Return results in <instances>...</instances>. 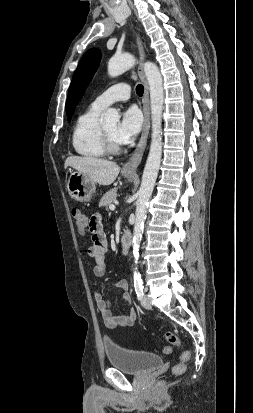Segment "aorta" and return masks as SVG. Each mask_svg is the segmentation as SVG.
<instances>
[{
  "mask_svg": "<svg viewBox=\"0 0 253 413\" xmlns=\"http://www.w3.org/2000/svg\"><path fill=\"white\" fill-rule=\"evenodd\" d=\"M135 63V57L130 54L115 55L108 62V74L111 77H117L132 68ZM143 68L150 90L152 134L150 150L143 171L136 203L132 240L135 262H137L139 257V246L143 235L147 206L152 196L162 157L163 79L160 70L155 63L145 62ZM103 119L106 124H115L119 122L120 114L118 110L109 108L104 112Z\"/></svg>",
  "mask_w": 253,
  "mask_h": 413,
  "instance_id": "obj_1",
  "label": "aorta"
}]
</instances>
